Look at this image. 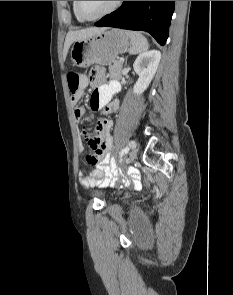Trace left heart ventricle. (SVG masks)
<instances>
[{
    "label": "left heart ventricle",
    "mask_w": 233,
    "mask_h": 295,
    "mask_svg": "<svg viewBox=\"0 0 233 295\" xmlns=\"http://www.w3.org/2000/svg\"><path fill=\"white\" fill-rule=\"evenodd\" d=\"M80 11L84 16H97L108 10L115 1H79Z\"/></svg>",
    "instance_id": "left-heart-ventricle-1"
}]
</instances>
